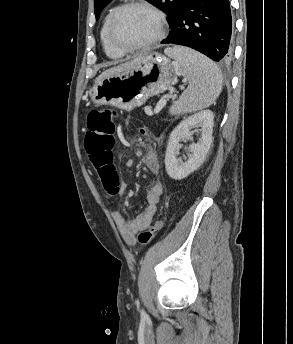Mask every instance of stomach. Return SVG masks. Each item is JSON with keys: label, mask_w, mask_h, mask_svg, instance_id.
Wrapping results in <instances>:
<instances>
[{"label": "stomach", "mask_w": 293, "mask_h": 344, "mask_svg": "<svg viewBox=\"0 0 293 344\" xmlns=\"http://www.w3.org/2000/svg\"><path fill=\"white\" fill-rule=\"evenodd\" d=\"M179 74L176 63L160 53L150 52L132 69L96 82L89 96L96 105L131 111L175 85Z\"/></svg>", "instance_id": "obj_1"}]
</instances>
